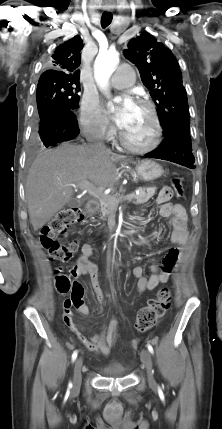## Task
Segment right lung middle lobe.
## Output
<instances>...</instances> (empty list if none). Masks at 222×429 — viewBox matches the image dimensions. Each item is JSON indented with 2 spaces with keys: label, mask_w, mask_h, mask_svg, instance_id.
Returning <instances> with one entry per match:
<instances>
[{
  "label": "right lung middle lobe",
  "mask_w": 222,
  "mask_h": 429,
  "mask_svg": "<svg viewBox=\"0 0 222 429\" xmlns=\"http://www.w3.org/2000/svg\"><path fill=\"white\" fill-rule=\"evenodd\" d=\"M80 83L72 79H39L36 91L37 109L41 122L54 109L73 111L78 108Z\"/></svg>",
  "instance_id": "1"
}]
</instances>
